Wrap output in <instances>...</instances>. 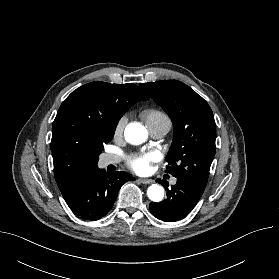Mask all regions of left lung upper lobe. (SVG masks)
<instances>
[{"instance_id":"left-lung-upper-lobe-1","label":"left lung upper lobe","mask_w":279,"mask_h":279,"mask_svg":"<svg viewBox=\"0 0 279 279\" xmlns=\"http://www.w3.org/2000/svg\"><path fill=\"white\" fill-rule=\"evenodd\" d=\"M141 87L173 122L167 172L206 187L216 139V124L208 103L177 80L142 83Z\"/></svg>"}]
</instances>
